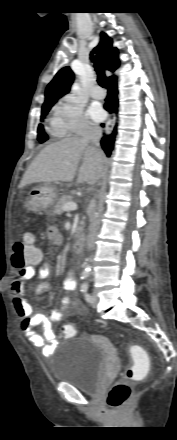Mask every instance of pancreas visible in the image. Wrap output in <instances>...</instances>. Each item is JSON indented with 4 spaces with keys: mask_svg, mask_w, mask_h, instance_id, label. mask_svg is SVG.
I'll list each match as a JSON object with an SVG mask.
<instances>
[{
    "mask_svg": "<svg viewBox=\"0 0 177 440\" xmlns=\"http://www.w3.org/2000/svg\"><path fill=\"white\" fill-rule=\"evenodd\" d=\"M69 202H72V197L70 196V195H63L62 197H60L58 200H57V203H56V205L54 206V210H53V213L54 214H57V215H59V214H61V212H62V207L66 204V203H69ZM82 224H83V222H80V225H79V227H78V229H77V234L80 232V231H82Z\"/></svg>",
    "mask_w": 177,
    "mask_h": 440,
    "instance_id": "pancreas-1",
    "label": "pancreas"
}]
</instances>
